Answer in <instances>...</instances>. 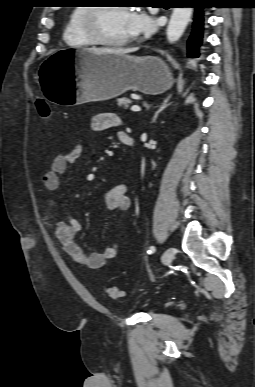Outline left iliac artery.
Wrapping results in <instances>:
<instances>
[{
	"mask_svg": "<svg viewBox=\"0 0 255 387\" xmlns=\"http://www.w3.org/2000/svg\"><path fill=\"white\" fill-rule=\"evenodd\" d=\"M155 250H156V249H155L154 246H150L149 249H148V251H147V253H148V254H152V253L155 252Z\"/></svg>",
	"mask_w": 255,
	"mask_h": 387,
	"instance_id": "obj_1",
	"label": "left iliac artery"
}]
</instances>
